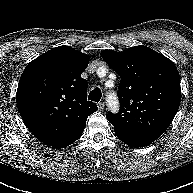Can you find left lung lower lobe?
Returning <instances> with one entry per match:
<instances>
[{
	"instance_id": "0a47b994",
	"label": "left lung lower lobe",
	"mask_w": 193,
	"mask_h": 193,
	"mask_svg": "<svg viewBox=\"0 0 193 193\" xmlns=\"http://www.w3.org/2000/svg\"><path fill=\"white\" fill-rule=\"evenodd\" d=\"M116 136L125 144L134 147H145L160 137L158 133H129L114 129Z\"/></svg>"
}]
</instances>
